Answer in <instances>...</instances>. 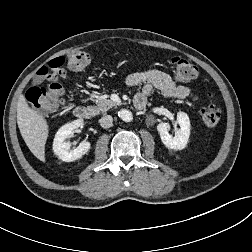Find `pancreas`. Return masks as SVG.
<instances>
[{"instance_id":"cf45deb5","label":"pancreas","mask_w":252,"mask_h":252,"mask_svg":"<svg viewBox=\"0 0 252 252\" xmlns=\"http://www.w3.org/2000/svg\"><path fill=\"white\" fill-rule=\"evenodd\" d=\"M117 103H115L114 101L110 100V99H106V98H98L96 99V106L93 108L94 113L100 114V113H105L107 112L110 108L116 106Z\"/></svg>"}]
</instances>
